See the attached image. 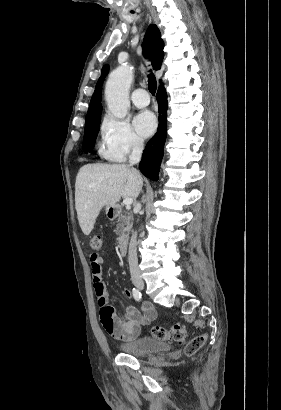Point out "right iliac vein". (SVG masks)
Listing matches in <instances>:
<instances>
[{"label":"right iliac vein","mask_w":281,"mask_h":410,"mask_svg":"<svg viewBox=\"0 0 281 410\" xmlns=\"http://www.w3.org/2000/svg\"><path fill=\"white\" fill-rule=\"evenodd\" d=\"M135 286L139 289H143L144 288V283L143 282H135Z\"/></svg>","instance_id":"obj_1"}]
</instances>
